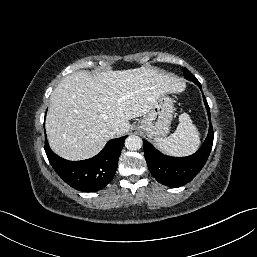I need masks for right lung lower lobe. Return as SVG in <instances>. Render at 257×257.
Masks as SVG:
<instances>
[{"label":"right lung lower lobe","mask_w":257,"mask_h":257,"mask_svg":"<svg viewBox=\"0 0 257 257\" xmlns=\"http://www.w3.org/2000/svg\"><path fill=\"white\" fill-rule=\"evenodd\" d=\"M110 140L104 149L93 158L83 161H68L57 156L45 140V152L56 173L76 190L94 192L104 188L113 178L125 138Z\"/></svg>","instance_id":"obj_1"}]
</instances>
